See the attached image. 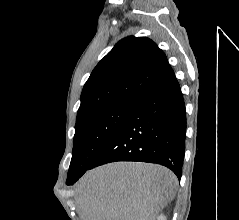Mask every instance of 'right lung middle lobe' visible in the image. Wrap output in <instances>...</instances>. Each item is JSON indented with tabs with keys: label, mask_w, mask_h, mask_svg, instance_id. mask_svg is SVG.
<instances>
[{
	"label": "right lung middle lobe",
	"mask_w": 239,
	"mask_h": 220,
	"mask_svg": "<svg viewBox=\"0 0 239 220\" xmlns=\"http://www.w3.org/2000/svg\"><path fill=\"white\" fill-rule=\"evenodd\" d=\"M131 104L99 110L76 120L72 159L66 183L80 178L116 132Z\"/></svg>",
	"instance_id": "obj_1"
}]
</instances>
